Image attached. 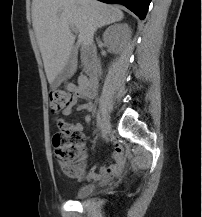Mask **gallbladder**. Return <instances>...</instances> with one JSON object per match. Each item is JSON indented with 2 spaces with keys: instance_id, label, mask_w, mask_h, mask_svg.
Wrapping results in <instances>:
<instances>
[{
  "instance_id": "1",
  "label": "gallbladder",
  "mask_w": 202,
  "mask_h": 217,
  "mask_svg": "<svg viewBox=\"0 0 202 217\" xmlns=\"http://www.w3.org/2000/svg\"><path fill=\"white\" fill-rule=\"evenodd\" d=\"M77 69V57L74 51L71 52L68 62L63 70L58 74L55 80L51 83L52 87H58L62 82L70 79Z\"/></svg>"
}]
</instances>
